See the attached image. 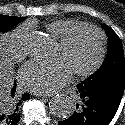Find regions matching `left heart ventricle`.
Returning a JSON list of instances; mask_svg holds the SVG:
<instances>
[{
    "label": "left heart ventricle",
    "instance_id": "left-heart-ventricle-1",
    "mask_svg": "<svg viewBox=\"0 0 125 125\" xmlns=\"http://www.w3.org/2000/svg\"><path fill=\"white\" fill-rule=\"evenodd\" d=\"M99 51V37L91 30H82L71 45L63 50L57 45L55 56L62 57L72 72L93 63Z\"/></svg>",
    "mask_w": 125,
    "mask_h": 125
}]
</instances>
